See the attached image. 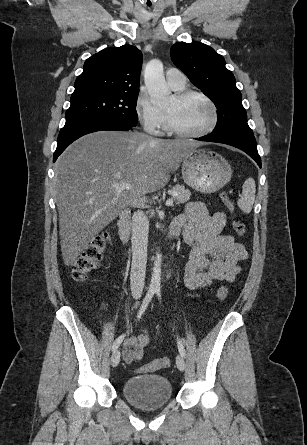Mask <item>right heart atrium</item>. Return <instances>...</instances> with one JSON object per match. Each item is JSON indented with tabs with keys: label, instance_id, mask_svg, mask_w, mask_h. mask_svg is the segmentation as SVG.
Segmentation results:
<instances>
[{
	"label": "right heart atrium",
	"instance_id": "1",
	"mask_svg": "<svg viewBox=\"0 0 307 445\" xmlns=\"http://www.w3.org/2000/svg\"><path fill=\"white\" fill-rule=\"evenodd\" d=\"M135 114L143 129L152 135H159L164 128V115L145 93H140L135 100Z\"/></svg>",
	"mask_w": 307,
	"mask_h": 445
}]
</instances>
